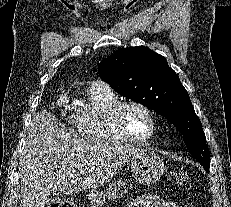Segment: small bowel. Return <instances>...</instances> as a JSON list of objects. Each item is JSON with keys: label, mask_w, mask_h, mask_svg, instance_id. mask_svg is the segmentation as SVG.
<instances>
[{"label": "small bowel", "mask_w": 231, "mask_h": 207, "mask_svg": "<svg viewBox=\"0 0 231 207\" xmlns=\"http://www.w3.org/2000/svg\"><path fill=\"white\" fill-rule=\"evenodd\" d=\"M127 207H179L174 201L157 195H143L130 201Z\"/></svg>", "instance_id": "1"}]
</instances>
